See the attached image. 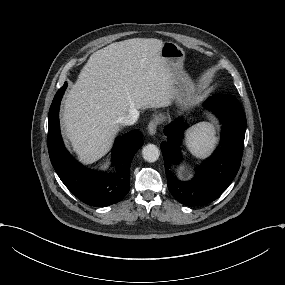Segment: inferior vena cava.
Here are the masks:
<instances>
[{
  "mask_svg": "<svg viewBox=\"0 0 285 285\" xmlns=\"http://www.w3.org/2000/svg\"><path fill=\"white\" fill-rule=\"evenodd\" d=\"M139 116L140 112L136 108H132L126 114L121 115L117 121L124 125H133L137 123Z\"/></svg>",
  "mask_w": 285,
  "mask_h": 285,
  "instance_id": "obj_1",
  "label": "inferior vena cava"
}]
</instances>
